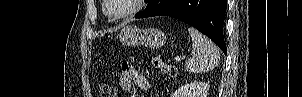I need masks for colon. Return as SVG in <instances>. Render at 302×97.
<instances>
[{
	"mask_svg": "<svg viewBox=\"0 0 302 97\" xmlns=\"http://www.w3.org/2000/svg\"><path fill=\"white\" fill-rule=\"evenodd\" d=\"M154 64L157 68L161 69L162 72L175 75L177 73L176 68L173 65L165 64L159 58L154 59ZM101 97H115V88L113 85L104 84L100 89Z\"/></svg>",
	"mask_w": 302,
	"mask_h": 97,
	"instance_id": "5ec220e1",
	"label": "colon"
}]
</instances>
